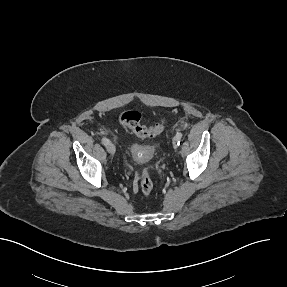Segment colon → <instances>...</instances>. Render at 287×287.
Wrapping results in <instances>:
<instances>
[{"mask_svg":"<svg viewBox=\"0 0 287 287\" xmlns=\"http://www.w3.org/2000/svg\"><path fill=\"white\" fill-rule=\"evenodd\" d=\"M141 120V114L134 110L124 111L119 116L121 126L141 138L157 137L164 131L167 123L166 120L162 118L151 126H145ZM136 186L140 188L145 195L151 194L153 183L147 168L141 171Z\"/></svg>","mask_w":287,"mask_h":287,"instance_id":"colon-1","label":"colon"}]
</instances>
